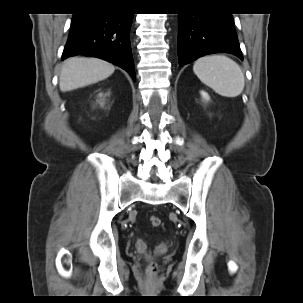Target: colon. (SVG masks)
Segmentation results:
<instances>
[{
	"label": "colon",
	"instance_id": "5ec220e1",
	"mask_svg": "<svg viewBox=\"0 0 303 303\" xmlns=\"http://www.w3.org/2000/svg\"><path fill=\"white\" fill-rule=\"evenodd\" d=\"M149 222H150V224L152 226L157 227V226H159L161 224V219L158 216H156V215H152L149 218ZM156 272H157L156 265L155 264H151L149 266V268H148L149 275L154 276L156 274Z\"/></svg>",
	"mask_w": 303,
	"mask_h": 303
}]
</instances>
